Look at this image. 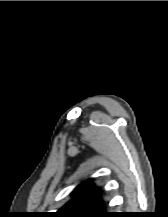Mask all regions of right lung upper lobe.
Here are the masks:
<instances>
[{
    "label": "right lung upper lobe",
    "mask_w": 168,
    "mask_h": 217,
    "mask_svg": "<svg viewBox=\"0 0 168 217\" xmlns=\"http://www.w3.org/2000/svg\"><path fill=\"white\" fill-rule=\"evenodd\" d=\"M112 213L105 211L100 190L90 181L81 183L74 190L73 198L54 217H108Z\"/></svg>",
    "instance_id": "right-lung-upper-lobe-1"
}]
</instances>
